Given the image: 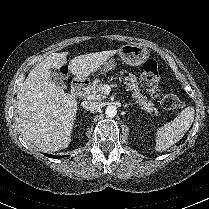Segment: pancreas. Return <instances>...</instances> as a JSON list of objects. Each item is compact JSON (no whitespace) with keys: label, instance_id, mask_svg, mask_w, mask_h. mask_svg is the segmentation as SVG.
Here are the masks:
<instances>
[{"label":"pancreas","instance_id":"pancreas-1","mask_svg":"<svg viewBox=\"0 0 209 209\" xmlns=\"http://www.w3.org/2000/svg\"><path fill=\"white\" fill-rule=\"evenodd\" d=\"M124 72L121 71V74ZM124 84L132 91V98L136 101V103L141 106V109L146 111L147 113H154V115H158V111L155 107H153V103L147 100V97L143 96L138 88L137 78L133 74H129L124 77ZM103 87V83L96 79L93 83L87 87L84 92V97L89 100H102L105 95L101 93Z\"/></svg>","mask_w":209,"mask_h":209}]
</instances>
